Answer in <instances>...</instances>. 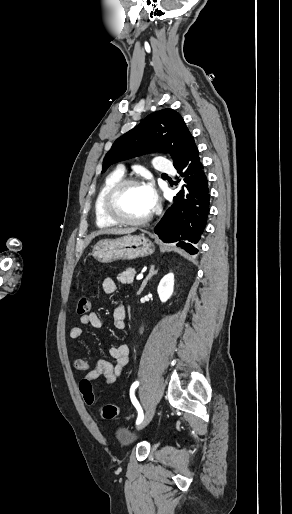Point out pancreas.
Instances as JSON below:
<instances>
[{
    "label": "pancreas",
    "mask_w": 292,
    "mask_h": 514,
    "mask_svg": "<svg viewBox=\"0 0 292 514\" xmlns=\"http://www.w3.org/2000/svg\"><path fill=\"white\" fill-rule=\"evenodd\" d=\"M135 274L136 272L134 268H128V270L123 272V274H118L117 280L118 282H121V284H133V278Z\"/></svg>",
    "instance_id": "cf45deb5"
}]
</instances>
